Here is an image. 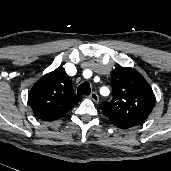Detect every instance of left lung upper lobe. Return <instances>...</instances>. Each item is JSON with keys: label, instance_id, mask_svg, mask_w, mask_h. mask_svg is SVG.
I'll return each mask as SVG.
<instances>
[{"label": "left lung upper lobe", "instance_id": "5c2ea615", "mask_svg": "<svg viewBox=\"0 0 171 171\" xmlns=\"http://www.w3.org/2000/svg\"><path fill=\"white\" fill-rule=\"evenodd\" d=\"M110 102L101 109L118 128L129 129L141 125L154 106V94L145 78L130 67H117L111 77Z\"/></svg>", "mask_w": 171, "mask_h": 171}]
</instances>
